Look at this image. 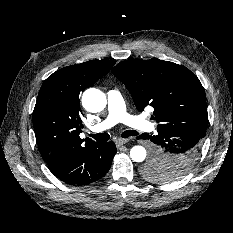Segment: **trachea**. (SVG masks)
I'll list each match as a JSON object with an SVG mask.
<instances>
[{"label":"trachea","mask_w":233,"mask_h":233,"mask_svg":"<svg viewBox=\"0 0 233 233\" xmlns=\"http://www.w3.org/2000/svg\"><path fill=\"white\" fill-rule=\"evenodd\" d=\"M138 132L135 130H126L122 133L123 138H128L130 136H136ZM97 142H106L110 139V135L108 133H97V134H90Z\"/></svg>","instance_id":"3493384b"}]
</instances>
